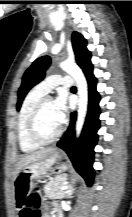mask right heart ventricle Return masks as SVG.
<instances>
[{"label":"right heart ventricle","mask_w":132,"mask_h":217,"mask_svg":"<svg viewBox=\"0 0 132 217\" xmlns=\"http://www.w3.org/2000/svg\"><path fill=\"white\" fill-rule=\"evenodd\" d=\"M37 87L31 89L23 100L18 117L17 137L19 147L24 153L36 151L40 146L35 144L28 135V120L36 104L45 97Z\"/></svg>","instance_id":"right-heart-ventricle-1"}]
</instances>
